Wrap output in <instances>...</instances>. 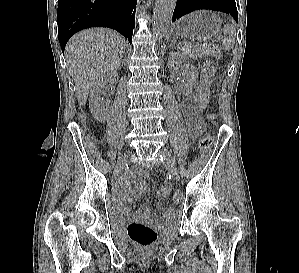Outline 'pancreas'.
<instances>
[{
	"instance_id": "cf45deb5",
	"label": "pancreas",
	"mask_w": 299,
	"mask_h": 273,
	"mask_svg": "<svg viewBox=\"0 0 299 273\" xmlns=\"http://www.w3.org/2000/svg\"><path fill=\"white\" fill-rule=\"evenodd\" d=\"M180 47H181V49H182V51H183L184 53H186L189 57H191V58H193V59H197V57L202 56V54L199 53V52L197 51V49L194 48V47H193L191 44H189V43L184 42V43H182V44L180 45Z\"/></svg>"
}]
</instances>
